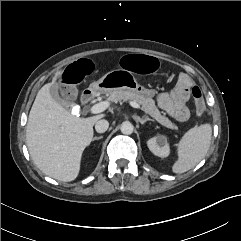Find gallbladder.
<instances>
[{
	"label": "gallbladder",
	"instance_id": "bac80fb5",
	"mask_svg": "<svg viewBox=\"0 0 241 241\" xmlns=\"http://www.w3.org/2000/svg\"><path fill=\"white\" fill-rule=\"evenodd\" d=\"M62 84L59 83H53L50 87V94L53 97V99L58 102L59 104L65 106V107H72L71 99H76L78 91L75 87H69L67 89V92L69 94L68 98L64 97L61 98L59 96V90L61 89Z\"/></svg>",
	"mask_w": 241,
	"mask_h": 241
}]
</instances>
